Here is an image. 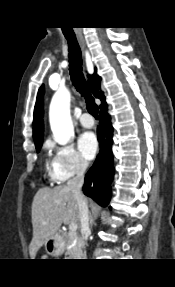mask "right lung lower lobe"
I'll use <instances>...</instances> for the list:
<instances>
[{
	"instance_id": "right-lung-lower-lobe-1",
	"label": "right lung lower lobe",
	"mask_w": 175,
	"mask_h": 287,
	"mask_svg": "<svg viewBox=\"0 0 175 287\" xmlns=\"http://www.w3.org/2000/svg\"><path fill=\"white\" fill-rule=\"evenodd\" d=\"M111 118L107 106L100 109V125L98 128V141L100 152L93 166L85 176L83 192L95 200L100 206L106 207L111 197V182L114 177V160L111 151L113 144Z\"/></svg>"
}]
</instances>
